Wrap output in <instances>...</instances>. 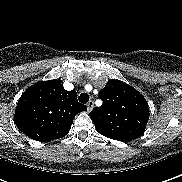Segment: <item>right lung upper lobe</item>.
I'll return each mask as SVG.
<instances>
[{"label":"right lung upper lobe","mask_w":182,"mask_h":182,"mask_svg":"<svg viewBox=\"0 0 182 182\" xmlns=\"http://www.w3.org/2000/svg\"><path fill=\"white\" fill-rule=\"evenodd\" d=\"M85 110L87 107L77 101V92L66 91L63 81H41L21 95L14 120L31 139L48 141L65 136L75 115Z\"/></svg>","instance_id":"obj_1"}]
</instances>
